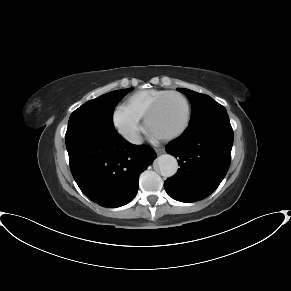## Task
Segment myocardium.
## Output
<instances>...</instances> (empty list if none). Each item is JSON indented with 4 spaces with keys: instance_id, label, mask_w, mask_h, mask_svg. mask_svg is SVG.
<instances>
[{
    "instance_id": "f54148a6",
    "label": "myocardium",
    "mask_w": 291,
    "mask_h": 291,
    "mask_svg": "<svg viewBox=\"0 0 291 291\" xmlns=\"http://www.w3.org/2000/svg\"><path fill=\"white\" fill-rule=\"evenodd\" d=\"M170 96H178L184 100L185 105H186V120H185L184 124L177 131H175L169 135L156 137L162 141L173 140V139L178 138L181 135H183L187 131V129L189 128V126L191 124V120H192V107H191V104H190V101L188 100V98L181 92L169 91L166 94H164L163 96H161L160 98H158L156 100V102L151 106V108L147 111V113L144 117L146 130L150 133L149 127H150L151 118L156 113V111L160 108L162 103Z\"/></svg>"
}]
</instances>
